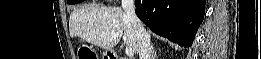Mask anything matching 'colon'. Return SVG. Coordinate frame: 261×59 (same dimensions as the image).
<instances>
[{
  "mask_svg": "<svg viewBox=\"0 0 261 59\" xmlns=\"http://www.w3.org/2000/svg\"><path fill=\"white\" fill-rule=\"evenodd\" d=\"M79 59H97L96 53L87 46H82L78 50Z\"/></svg>",
  "mask_w": 261,
  "mask_h": 59,
  "instance_id": "1",
  "label": "colon"
}]
</instances>
